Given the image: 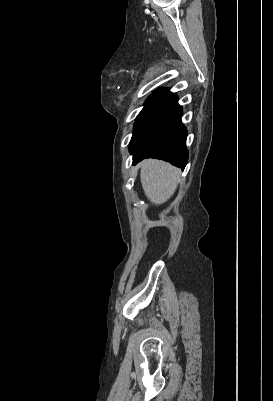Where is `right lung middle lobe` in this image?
<instances>
[{
  "label": "right lung middle lobe",
  "instance_id": "1",
  "mask_svg": "<svg viewBox=\"0 0 273 401\" xmlns=\"http://www.w3.org/2000/svg\"><path fill=\"white\" fill-rule=\"evenodd\" d=\"M170 100L171 98L168 97L150 96L147 99L144 108L137 116L133 135L145 122H147L154 114L162 109Z\"/></svg>",
  "mask_w": 273,
  "mask_h": 401
}]
</instances>
